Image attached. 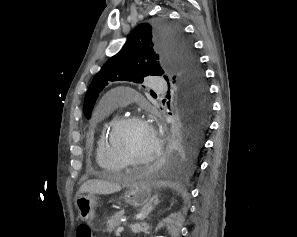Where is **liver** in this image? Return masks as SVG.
Here are the masks:
<instances>
[{"label":"liver","mask_w":297,"mask_h":237,"mask_svg":"<svg viewBox=\"0 0 297 237\" xmlns=\"http://www.w3.org/2000/svg\"><path fill=\"white\" fill-rule=\"evenodd\" d=\"M121 190L119 184H114L104 180H88L80 187V193L91 194H112Z\"/></svg>","instance_id":"1"}]
</instances>
